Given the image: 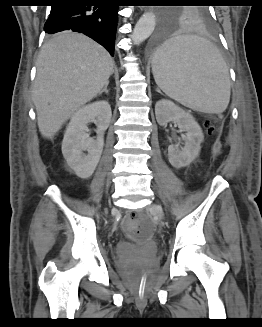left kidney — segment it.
<instances>
[{"label": "left kidney", "mask_w": 262, "mask_h": 327, "mask_svg": "<svg viewBox=\"0 0 262 327\" xmlns=\"http://www.w3.org/2000/svg\"><path fill=\"white\" fill-rule=\"evenodd\" d=\"M155 115L159 125L165 126L168 122L176 120L178 127L186 132L184 136V147L180 149L178 144L168 147L170 164L177 169L190 165L199 155L201 149L200 144L204 140V135L199 124L189 112L166 99L156 103Z\"/></svg>", "instance_id": "obj_1"}]
</instances>
